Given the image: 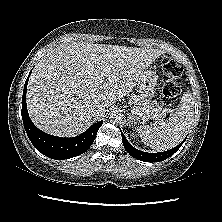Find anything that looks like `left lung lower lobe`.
<instances>
[{"instance_id":"0a47b994","label":"left lung lower lobe","mask_w":222,"mask_h":222,"mask_svg":"<svg viewBox=\"0 0 222 222\" xmlns=\"http://www.w3.org/2000/svg\"><path fill=\"white\" fill-rule=\"evenodd\" d=\"M121 134H122V132H121ZM185 140L186 139H184L178 146H176L175 148H172L168 151L159 152V153H146V152H142V151L134 148L127 141L124 134H122V142H123V145H124V148L126 149V151L134 158H137L138 160H141L144 162H159V161H163V160L167 159L168 157L173 155L181 147V145L184 143Z\"/></svg>"}]
</instances>
